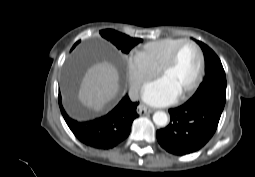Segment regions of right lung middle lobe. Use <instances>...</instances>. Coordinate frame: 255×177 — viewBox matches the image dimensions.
Here are the masks:
<instances>
[{"mask_svg": "<svg viewBox=\"0 0 255 177\" xmlns=\"http://www.w3.org/2000/svg\"><path fill=\"white\" fill-rule=\"evenodd\" d=\"M100 35L106 40L113 43L119 50H121L124 53H129L132 47L142 42V39L131 38L113 29L101 30Z\"/></svg>", "mask_w": 255, "mask_h": 177, "instance_id": "obj_1", "label": "right lung middle lobe"}]
</instances>
